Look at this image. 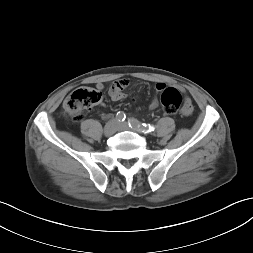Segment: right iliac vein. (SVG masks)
<instances>
[{"label": "right iliac vein", "mask_w": 253, "mask_h": 253, "mask_svg": "<svg viewBox=\"0 0 253 253\" xmlns=\"http://www.w3.org/2000/svg\"><path fill=\"white\" fill-rule=\"evenodd\" d=\"M118 128H119L118 121L112 119L109 122H107L106 125L104 126V135L111 136L118 130Z\"/></svg>", "instance_id": "obj_1"}]
</instances>
